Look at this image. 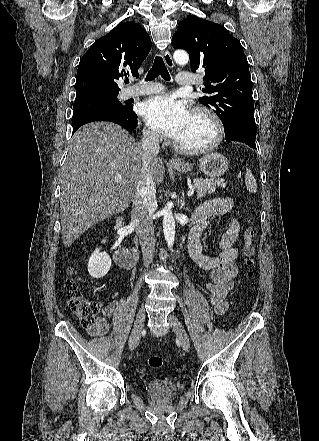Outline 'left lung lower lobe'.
Wrapping results in <instances>:
<instances>
[{
	"label": "left lung lower lobe",
	"instance_id": "0a47b994",
	"mask_svg": "<svg viewBox=\"0 0 319 441\" xmlns=\"http://www.w3.org/2000/svg\"><path fill=\"white\" fill-rule=\"evenodd\" d=\"M256 131L248 127H236L228 134H225V140L227 143L231 141L242 142L255 149Z\"/></svg>",
	"mask_w": 319,
	"mask_h": 441
}]
</instances>
